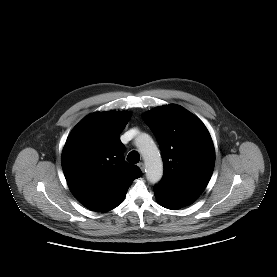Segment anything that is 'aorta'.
<instances>
[{
	"instance_id": "aorta-1",
	"label": "aorta",
	"mask_w": 277,
	"mask_h": 277,
	"mask_svg": "<svg viewBox=\"0 0 277 277\" xmlns=\"http://www.w3.org/2000/svg\"><path fill=\"white\" fill-rule=\"evenodd\" d=\"M135 143L145 163L147 180L153 184L159 182L163 176V162L156 144L146 133L138 135Z\"/></svg>"
}]
</instances>
